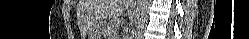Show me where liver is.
I'll list each match as a JSON object with an SVG mask.
<instances>
[{
  "label": "liver",
  "mask_w": 249,
  "mask_h": 39,
  "mask_svg": "<svg viewBox=\"0 0 249 39\" xmlns=\"http://www.w3.org/2000/svg\"><path fill=\"white\" fill-rule=\"evenodd\" d=\"M123 3L124 0H80V18L83 30L87 32L92 23L120 16L124 11Z\"/></svg>",
  "instance_id": "1"
}]
</instances>
